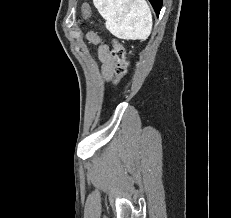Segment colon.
Segmentation results:
<instances>
[{
	"label": "colon",
	"mask_w": 231,
	"mask_h": 218,
	"mask_svg": "<svg viewBox=\"0 0 231 218\" xmlns=\"http://www.w3.org/2000/svg\"><path fill=\"white\" fill-rule=\"evenodd\" d=\"M90 7L85 5L83 7L84 18L89 17ZM112 56L115 59L114 72L116 78L114 80V85H117L119 80L127 73L129 61H128V51L126 47L118 40H113L112 43Z\"/></svg>",
	"instance_id": "5ec220e1"
}]
</instances>
